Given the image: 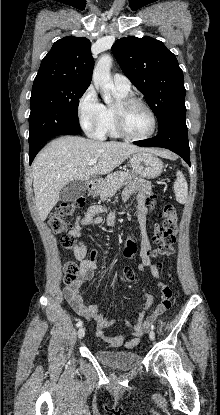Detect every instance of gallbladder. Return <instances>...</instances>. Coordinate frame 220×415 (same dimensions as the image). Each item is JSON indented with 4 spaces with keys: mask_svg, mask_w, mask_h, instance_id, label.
Instances as JSON below:
<instances>
[{
    "mask_svg": "<svg viewBox=\"0 0 220 415\" xmlns=\"http://www.w3.org/2000/svg\"><path fill=\"white\" fill-rule=\"evenodd\" d=\"M87 188V182L82 180H74L66 184L60 191V201H76L82 197Z\"/></svg>",
    "mask_w": 220,
    "mask_h": 415,
    "instance_id": "bac80fb5",
    "label": "gallbladder"
}]
</instances>
